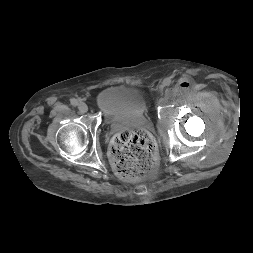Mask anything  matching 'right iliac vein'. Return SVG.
<instances>
[{"instance_id":"obj_1","label":"right iliac vein","mask_w":253,"mask_h":253,"mask_svg":"<svg viewBox=\"0 0 253 253\" xmlns=\"http://www.w3.org/2000/svg\"><path fill=\"white\" fill-rule=\"evenodd\" d=\"M78 109L81 113H86L88 111V106L84 102H81L78 105Z\"/></svg>"}]
</instances>
